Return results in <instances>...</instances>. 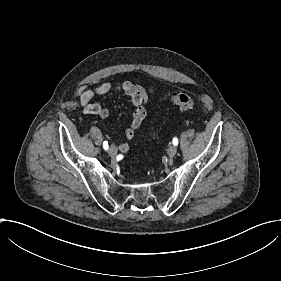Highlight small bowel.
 <instances>
[{"label": "small bowel", "mask_w": 281, "mask_h": 281, "mask_svg": "<svg viewBox=\"0 0 281 281\" xmlns=\"http://www.w3.org/2000/svg\"><path fill=\"white\" fill-rule=\"evenodd\" d=\"M112 88L113 86L110 82H104L93 88L81 87L79 90V97L82 110L87 114L96 115L101 119L108 118L109 110L97 103H91V100L107 95ZM117 90L125 93L130 98L131 105L134 108L131 127L125 131V137L127 139H132L135 130L140 127L146 115V91L142 86L129 81L119 84ZM127 148L128 145L126 143H122L119 146L121 151H125Z\"/></svg>", "instance_id": "c3829d8e"}]
</instances>
